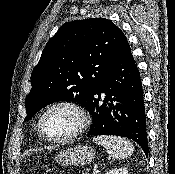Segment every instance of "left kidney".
Returning <instances> with one entry per match:
<instances>
[{
	"label": "left kidney",
	"instance_id": "left-kidney-1",
	"mask_svg": "<svg viewBox=\"0 0 175 174\" xmlns=\"http://www.w3.org/2000/svg\"><path fill=\"white\" fill-rule=\"evenodd\" d=\"M105 174H128V171L126 168L112 169L107 171Z\"/></svg>",
	"mask_w": 175,
	"mask_h": 174
}]
</instances>
